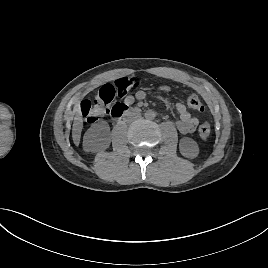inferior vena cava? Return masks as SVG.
I'll list each match as a JSON object with an SVG mask.
<instances>
[{
	"instance_id": "inferior-vena-cava-1",
	"label": "inferior vena cava",
	"mask_w": 268,
	"mask_h": 268,
	"mask_svg": "<svg viewBox=\"0 0 268 268\" xmlns=\"http://www.w3.org/2000/svg\"><path fill=\"white\" fill-rule=\"evenodd\" d=\"M138 117H140V114L137 113V112H128V113L126 114V119H127V120H133V119H136V118H138Z\"/></svg>"
}]
</instances>
